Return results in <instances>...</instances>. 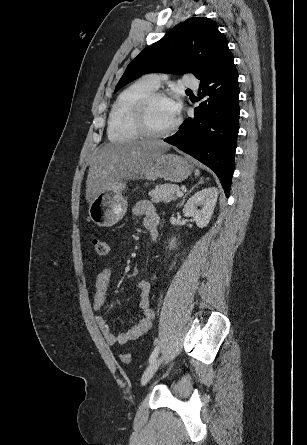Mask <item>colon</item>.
Segmentation results:
<instances>
[{"mask_svg":"<svg viewBox=\"0 0 307 445\" xmlns=\"http://www.w3.org/2000/svg\"><path fill=\"white\" fill-rule=\"evenodd\" d=\"M92 244L96 253L100 256H107L110 251V247L108 243L98 237L92 238ZM120 359L123 363L128 364L131 362V354L128 352L122 353L120 355Z\"/></svg>","mask_w":307,"mask_h":445,"instance_id":"5ec220e1","label":"colon"}]
</instances>
